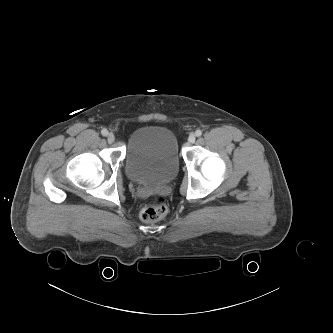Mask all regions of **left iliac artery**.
Here are the masks:
<instances>
[{
	"instance_id": "44dca946",
	"label": "left iliac artery",
	"mask_w": 333,
	"mask_h": 333,
	"mask_svg": "<svg viewBox=\"0 0 333 333\" xmlns=\"http://www.w3.org/2000/svg\"><path fill=\"white\" fill-rule=\"evenodd\" d=\"M195 134L197 137H199L202 135V131L200 129H198V130H196Z\"/></svg>"
}]
</instances>
